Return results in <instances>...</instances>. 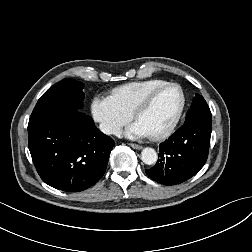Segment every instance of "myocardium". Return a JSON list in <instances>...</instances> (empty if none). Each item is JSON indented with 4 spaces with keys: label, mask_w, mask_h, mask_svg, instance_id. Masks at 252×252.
I'll return each mask as SVG.
<instances>
[{
    "label": "myocardium",
    "mask_w": 252,
    "mask_h": 252,
    "mask_svg": "<svg viewBox=\"0 0 252 252\" xmlns=\"http://www.w3.org/2000/svg\"><path fill=\"white\" fill-rule=\"evenodd\" d=\"M168 87H176L179 89L180 94H181V104H180L179 110H178L174 120L170 124V126L167 129H165L164 131L152 135V138H154L156 140H161V139H165V138L169 137L175 131V129L177 128V126L182 118V115H183L185 107H186V102H187L186 94H185V91L182 88V86L178 83H175V82H166V83L152 89L138 103V105L135 107V109L132 113L134 118L137 119L138 116L152 104V102L155 99V97L157 96V94L159 92H161L163 89L168 88Z\"/></svg>",
    "instance_id": "f54148a6"
}]
</instances>
